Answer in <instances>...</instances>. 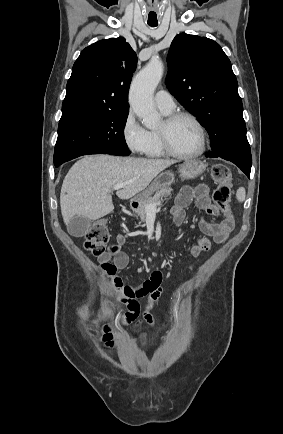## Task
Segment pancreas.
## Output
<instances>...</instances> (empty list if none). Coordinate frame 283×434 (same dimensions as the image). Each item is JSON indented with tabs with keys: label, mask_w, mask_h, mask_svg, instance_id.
Returning a JSON list of instances; mask_svg holds the SVG:
<instances>
[{
	"label": "pancreas",
	"mask_w": 283,
	"mask_h": 434,
	"mask_svg": "<svg viewBox=\"0 0 283 434\" xmlns=\"http://www.w3.org/2000/svg\"><path fill=\"white\" fill-rule=\"evenodd\" d=\"M173 190L170 187H165L158 190L153 197H150L144 204L140 205L138 208L133 211L140 217V220L143 222L147 216L146 206L150 204H155L163 198H167L171 195Z\"/></svg>",
	"instance_id": "1"
}]
</instances>
